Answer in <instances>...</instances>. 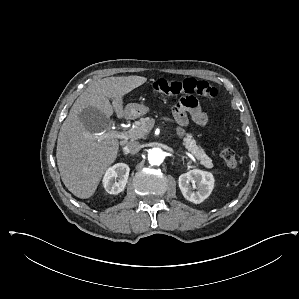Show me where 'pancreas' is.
<instances>
[{"label":"pancreas","mask_w":299,"mask_h":299,"mask_svg":"<svg viewBox=\"0 0 299 299\" xmlns=\"http://www.w3.org/2000/svg\"><path fill=\"white\" fill-rule=\"evenodd\" d=\"M151 129L150 118H141L139 121L135 122V127L132 129L133 134L131 139L135 140L138 138L144 137V135ZM183 145L185 148L191 152L192 155L196 157L200 163L206 168H212L213 163L210 157L206 155L204 150L196 144V141L192 138L191 134H187V136L183 140Z\"/></svg>","instance_id":"obj_1"}]
</instances>
